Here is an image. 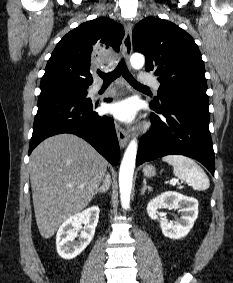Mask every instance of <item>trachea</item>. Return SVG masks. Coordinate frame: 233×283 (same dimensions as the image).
Instances as JSON below:
<instances>
[{"label": "trachea", "instance_id": "3493384b", "mask_svg": "<svg viewBox=\"0 0 233 283\" xmlns=\"http://www.w3.org/2000/svg\"><path fill=\"white\" fill-rule=\"evenodd\" d=\"M98 75L103 79V82L105 84H110L113 82L115 79H117L119 76H123L129 83L132 85L134 88L137 89H149L148 87L138 83L134 77L130 74L126 63L124 60H121L116 67V69L110 73H102L98 72Z\"/></svg>", "mask_w": 233, "mask_h": 283}]
</instances>
